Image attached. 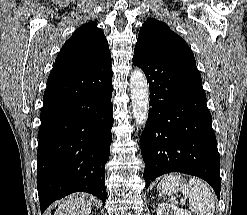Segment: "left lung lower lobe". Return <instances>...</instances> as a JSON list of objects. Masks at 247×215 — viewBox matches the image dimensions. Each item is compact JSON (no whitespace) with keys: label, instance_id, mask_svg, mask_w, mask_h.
<instances>
[{"label":"left lung lower lobe","instance_id":"left-lung-lower-lobe-1","mask_svg":"<svg viewBox=\"0 0 247 215\" xmlns=\"http://www.w3.org/2000/svg\"><path fill=\"white\" fill-rule=\"evenodd\" d=\"M133 64L150 88L149 116L140 138L146 188L181 172L206 180L220 198V155L196 65L167 60L135 46Z\"/></svg>","mask_w":247,"mask_h":215}]
</instances>
